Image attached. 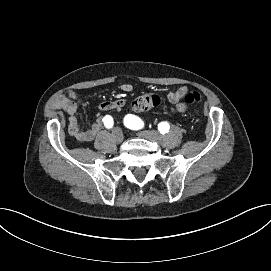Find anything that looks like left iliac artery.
I'll return each mask as SVG.
<instances>
[{
	"label": "left iliac artery",
	"mask_w": 271,
	"mask_h": 271,
	"mask_svg": "<svg viewBox=\"0 0 271 271\" xmlns=\"http://www.w3.org/2000/svg\"><path fill=\"white\" fill-rule=\"evenodd\" d=\"M124 124L127 128L132 129V130L141 129L144 125L143 121L139 117H137L135 115H131V114H128L127 116H125ZM169 128H170V126L167 122H161L158 125L157 130L160 133L166 134V133H168Z\"/></svg>",
	"instance_id": "44dca946"
}]
</instances>
